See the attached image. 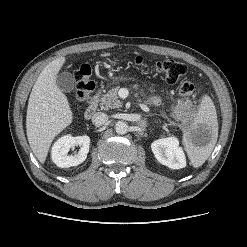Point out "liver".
<instances>
[{
  "label": "liver",
  "mask_w": 247,
  "mask_h": 247,
  "mask_svg": "<svg viewBox=\"0 0 247 247\" xmlns=\"http://www.w3.org/2000/svg\"><path fill=\"white\" fill-rule=\"evenodd\" d=\"M111 53L100 54L108 57ZM65 57L50 62L40 73L30 93L26 132L29 145L40 163H44L54 138L73 121L67 97L56 84Z\"/></svg>",
  "instance_id": "obj_1"
}]
</instances>
